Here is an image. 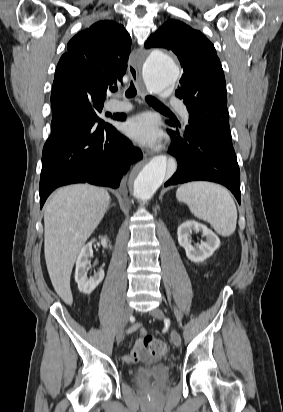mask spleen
<instances>
[{"mask_svg":"<svg viewBox=\"0 0 283 412\" xmlns=\"http://www.w3.org/2000/svg\"><path fill=\"white\" fill-rule=\"evenodd\" d=\"M176 197L188 205L195 217L210 223L219 235L227 237L234 233L236 205L220 185L205 181L189 182L177 189Z\"/></svg>","mask_w":283,"mask_h":412,"instance_id":"1","label":"spleen"}]
</instances>
